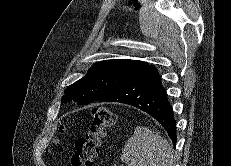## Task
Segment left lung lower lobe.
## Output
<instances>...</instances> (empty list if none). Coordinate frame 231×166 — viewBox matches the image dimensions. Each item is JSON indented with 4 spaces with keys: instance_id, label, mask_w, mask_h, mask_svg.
Wrapping results in <instances>:
<instances>
[{
    "instance_id": "0a47b994",
    "label": "left lung lower lobe",
    "mask_w": 231,
    "mask_h": 166,
    "mask_svg": "<svg viewBox=\"0 0 231 166\" xmlns=\"http://www.w3.org/2000/svg\"><path fill=\"white\" fill-rule=\"evenodd\" d=\"M96 101L132 105L154 117L176 143V121L157 69L148 65L134 77Z\"/></svg>"
}]
</instances>
